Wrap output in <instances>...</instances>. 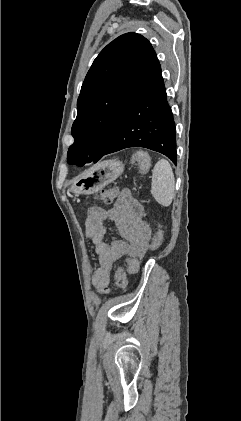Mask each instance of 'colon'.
<instances>
[{
	"mask_svg": "<svg viewBox=\"0 0 241 421\" xmlns=\"http://www.w3.org/2000/svg\"><path fill=\"white\" fill-rule=\"evenodd\" d=\"M132 160L134 163H136L140 170L142 172H145L148 170L150 166V158L149 156L144 152H137L133 155ZM118 195V190L116 188H109L106 190H103L98 199L100 202L104 204H110ZM163 242V231L161 229H158L156 233L154 234L151 243H150V249L155 250L158 249ZM126 268L130 273H135L138 271L139 267V261L136 258L128 257L125 261ZM115 283L117 287L121 290H126L128 285L127 275L123 268H118L115 272Z\"/></svg>",
	"mask_w": 241,
	"mask_h": 421,
	"instance_id": "colon-1",
	"label": "colon"
}]
</instances>
